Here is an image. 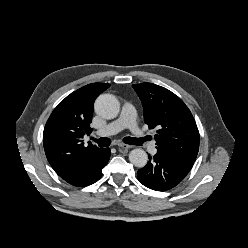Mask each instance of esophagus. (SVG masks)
Listing matches in <instances>:
<instances>
[{"label":"esophagus","instance_id":"34e87169","mask_svg":"<svg viewBox=\"0 0 248 248\" xmlns=\"http://www.w3.org/2000/svg\"><path fill=\"white\" fill-rule=\"evenodd\" d=\"M118 147L120 150H128L129 148H131L130 145L124 144V143H118Z\"/></svg>","mask_w":248,"mask_h":248}]
</instances>
